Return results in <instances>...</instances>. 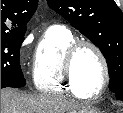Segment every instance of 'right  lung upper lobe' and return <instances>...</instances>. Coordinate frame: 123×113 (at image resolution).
<instances>
[{
    "label": "right lung upper lobe",
    "mask_w": 123,
    "mask_h": 113,
    "mask_svg": "<svg viewBox=\"0 0 123 113\" xmlns=\"http://www.w3.org/2000/svg\"><path fill=\"white\" fill-rule=\"evenodd\" d=\"M38 0H1V37L24 35Z\"/></svg>",
    "instance_id": "1"
}]
</instances>
